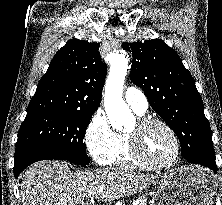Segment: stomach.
<instances>
[{
    "instance_id": "0dacf381",
    "label": "stomach",
    "mask_w": 222,
    "mask_h": 205,
    "mask_svg": "<svg viewBox=\"0 0 222 205\" xmlns=\"http://www.w3.org/2000/svg\"><path fill=\"white\" fill-rule=\"evenodd\" d=\"M213 194L209 172L188 166L171 170L159 178L151 205H211Z\"/></svg>"
}]
</instances>
